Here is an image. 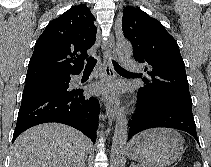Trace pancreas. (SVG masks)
Returning <instances> with one entry per match:
<instances>
[{
  "label": "pancreas",
  "mask_w": 211,
  "mask_h": 167,
  "mask_svg": "<svg viewBox=\"0 0 211 167\" xmlns=\"http://www.w3.org/2000/svg\"><path fill=\"white\" fill-rule=\"evenodd\" d=\"M133 167H143V166L140 165V166H133Z\"/></svg>",
  "instance_id": "cf45deb5"
}]
</instances>
